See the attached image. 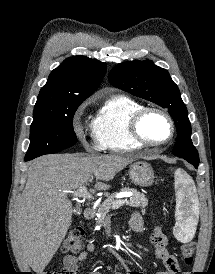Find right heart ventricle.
<instances>
[{"instance_id": "e07e8e85", "label": "right heart ventricle", "mask_w": 215, "mask_h": 274, "mask_svg": "<svg viewBox=\"0 0 215 274\" xmlns=\"http://www.w3.org/2000/svg\"><path fill=\"white\" fill-rule=\"evenodd\" d=\"M142 108L139 102L122 95L105 100L91 123L94 139L102 150L123 152L142 147L129 132L131 117Z\"/></svg>"}]
</instances>
